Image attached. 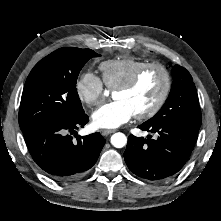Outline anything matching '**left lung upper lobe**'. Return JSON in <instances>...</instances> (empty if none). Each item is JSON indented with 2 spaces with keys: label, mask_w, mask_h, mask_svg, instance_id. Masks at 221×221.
<instances>
[{
  "label": "left lung upper lobe",
  "mask_w": 221,
  "mask_h": 221,
  "mask_svg": "<svg viewBox=\"0 0 221 221\" xmlns=\"http://www.w3.org/2000/svg\"><path fill=\"white\" fill-rule=\"evenodd\" d=\"M172 75L173 83L166 103L147 122H175L188 130L198 133L202 117L192 76L185 68L179 65L173 67Z\"/></svg>",
  "instance_id": "5c2ea615"
}]
</instances>
